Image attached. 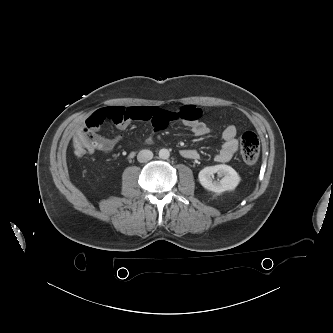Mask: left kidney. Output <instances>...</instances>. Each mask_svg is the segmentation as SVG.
I'll list each match as a JSON object with an SVG mask.
<instances>
[{
	"label": "left kidney",
	"mask_w": 333,
	"mask_h": 333,
	"mask_svg": "<svg viewBox=\"0 0 333 333\" xmlns=\"http://www.w3.org/2000/svg\"><path fill=\"white\" fill-rule=\"evenodd\" d=\"M214 173H218L223 178L219 182L214 181ZM198 178L205 189L215 193L234 190L240 182L238 173L225 164L205 167L199 172Z\"/></svg>",
	"instance_id": "obj_1"
}]
</instances>
